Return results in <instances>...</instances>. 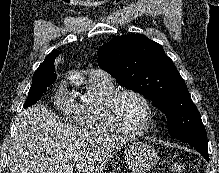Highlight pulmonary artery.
Returning <instances> with one entry per match:
<instances>
[{"mask_svg": "<svg viewBox=\"0 0 219 173\" xmlns=\"http://www.w3.org/2000/svg\"><path fill=\"white\" fill-rule=\"evenodd\" d=\"M88 77L90 80L112 82V77L101 69H90L88 71Z\"/></svg>", "mask_w": 219, "mask_h": 173, "instance_id": "pulmonary-artery-1", "label": "pulmonary artery"}]
</instances>
